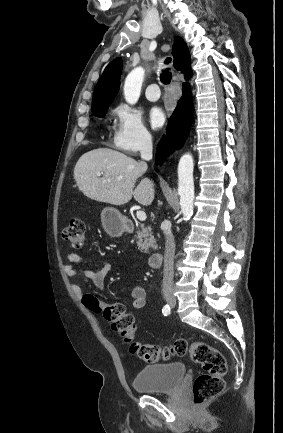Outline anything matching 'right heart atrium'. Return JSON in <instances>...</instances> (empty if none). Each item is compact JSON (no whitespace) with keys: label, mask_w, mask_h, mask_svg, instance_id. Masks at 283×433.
I'll use <instances>...</instances> for the list:
<instances>
[{"label":"right heart atrium","mask_w":283,"mask_h":433,"mask_svg":"<svg viewBox=\"0 0 283 433\" xmlns=\"http://www.w3.org/2000/svg\"><path fill=\"white\" fill-rule=\"evenodd\" d=\"M116 119L111 146L127 155H137L152 147L153 138L145 126L142 113L120 103L113 110Z\"/></svg>","instance_id":"d8ad5b80"}]
</instances>
